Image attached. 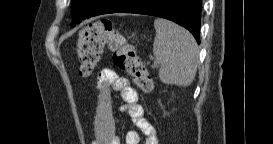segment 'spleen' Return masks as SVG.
Wrapping results in <instances>:
<instances>
[{
    "label": "spleen",
    "instance_id": "3e777b00",
    "mask_svg": "<svg viewBox=\"0 0 273 144\" xmlns=\"http://www.w3.org/2000/svg\"><path fill=\"white\" fill-rule=\"evenodd\" d=\"M156 36L153 53L161 65L159 78L162 83L187 87L195 77L198 63L197 43L183 27L157 18L154 21Z\"/></svg>",
    "mask_w": 273,
    "mask_h": 144
}]
</instances>
